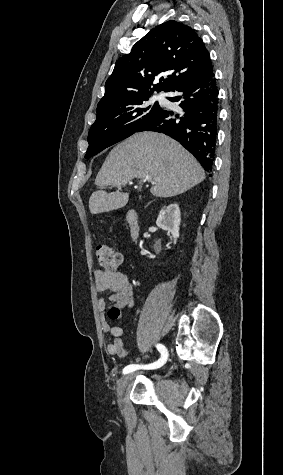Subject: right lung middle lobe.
<instances>
[{
	"label": "right lung middle lobe",
	"mask_w": 283,
	"mask_h": 475,
	"mask_svg": "<svg viewBox=\"0 0 283 475\" xmlns=\"http://www.w3.org/2000/svg\"><path fill=\"white\" fill-rule=\"evenodd\" d=\"M152 93L97 107L96 121L88 134L85 158L131 136L160 109L158 102L149 104Z\"/></svg>",
	"instance_id": "dd1d6c3e"
}]
</instances>
